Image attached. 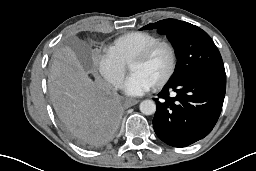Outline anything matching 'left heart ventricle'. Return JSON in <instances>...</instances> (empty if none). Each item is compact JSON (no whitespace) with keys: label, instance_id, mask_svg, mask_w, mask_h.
Masks as SVG:
<instances>
[{"label":"left heart ventricle","instance_id":"1","mask_svg":"<svg viewBox=\"0 0 256 171\" xmlns=\"http://www.w3.org/2000/svg\"><path fill=\"white\" fill-rule=\"evenodd\" d=\"M169 66V51L165 47H160L147 61L131 64L130 71L143 75L155 85L167 73Z\"/></svg>","mask_w":256,"mask_h":171}]
</instances>
